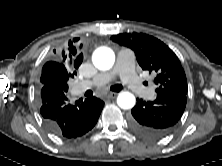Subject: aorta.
Here are the masks:
<instances>
[{
    "mask_svg": "<svg viewBox=\"0 0 222 166\" xmlns=\"http://www.w3.org/2000/svg\"><path fill=\"white\" fill-rule=\"evenodd\" d=\"M93 64L96 68L102 71L111 69L115 62V54L112 49L108 47H100L93 53ZM136 103L135 96L127 91L119 93L117 97V104L122 109H131Z\"/></svg>",
    "mask_w": 222,
    "mask_h": 166,
    "instance_id": "762f6f07",
    "label": "aorta"
}]
</instances>
